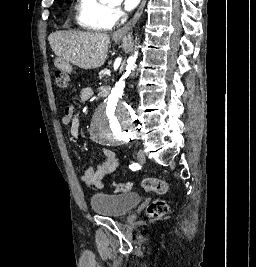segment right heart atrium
<instances>
[{
  "label": "right heart atrium",
  "instance_id": "d8ad5b80",
  "mask_svg": "<svg viewBox=\"0 0 256 267\" xmlns=\"http://www.w3.org/2000/svg\"><path fill=\"white\" fill-rule=\"evenodd\" d=\"M120 13H121V11H120V8L118 6H114L113 9L111 10L112 16L117 17L120 15Z\"/></svg>",
  "mask_w": 256,
  "mask_h": 267
}]
</instances>
